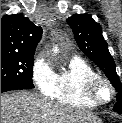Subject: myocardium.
<instances>
[{
    "label": "myocardium",
    "instance_id": "f54148a6",
    "mask_svg": "<svg viewBox=\"0 0 122 123\" xmlns=\"http://www.w3.org/2000/svg\"><path fill=\"white\" fill-rule=\"evenodd\" d=\"M101 85H105L109 89L110 95L107 99H102L99 96L98 91ZM83 94L89 101L95 103L96 105H103L113 99L115 90L107 78L98 74L86 79L83 86Z\"/></svg>",
    "mask_w": 122,
    "mask_h": 123
}]
</instances>
